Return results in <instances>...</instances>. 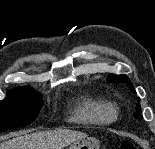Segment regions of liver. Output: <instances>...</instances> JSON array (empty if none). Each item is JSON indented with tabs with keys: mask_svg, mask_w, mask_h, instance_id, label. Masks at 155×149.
<instances>
[{
	"mask_svg": "<svg viewBox=\"0 0 155 149\" xmlns=\"http://www.w3.org/2000/svg\"><path fill=\"white\" fill-rule=\"evenodd\" d=\"M86 137V133L60 128L16 136L0 143V149H63Z\"/></svg>",
	"mask_w": 155,
	"mask_h": 149,
	"instance_id": "6515ba94",
	"label": "liver"
}]
</instances>
